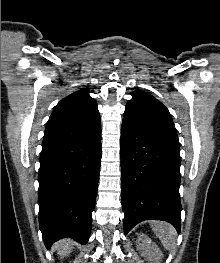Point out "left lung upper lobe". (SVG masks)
I'll list each match as a JSON object with an SVG mask.
<instances>
[{
  "label": "left lung upper lobe",
  "instance_id": "obj_1",
  "mask_svg": "<svg viewBox=\"0 0 220 263\" xmlns=\"http://www.w3.org/2000/svg\"><path fill=\"white\" fill-rule=\"evenodd\" d=\"M123 122L165 139L179 147L176 128L168 109L152 95L136 90L125 107Z\"/></svg>",
  "mask_w": 220,
  "mask_h": 263
}]
</instances>
